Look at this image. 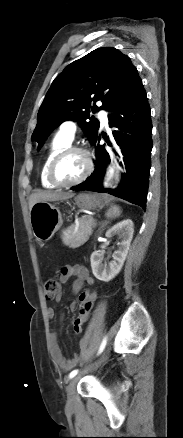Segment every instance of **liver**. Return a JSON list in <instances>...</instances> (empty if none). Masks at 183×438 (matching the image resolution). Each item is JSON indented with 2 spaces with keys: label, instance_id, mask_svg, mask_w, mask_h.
Listing matches in <instances>:
<instances>
[{
  "label": "liver",
  "instance_id": "liver-1",
  "mask_svg": "<svg viewBox=\"0 0 183 438\" xmlns=\"http://www.w3.org/2000/svg\"><path fill=\"white\" fill-rule=\"evenodd\" d=\"M74 196V193L72 192H62V191H41L34 193L29 198V209L32 208V206L41 201H62L67 200L69 198H72Z\"/></svg>",
  "mask_w": 183,
  "mask_h": 438
}]
</instances>
